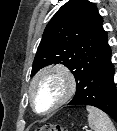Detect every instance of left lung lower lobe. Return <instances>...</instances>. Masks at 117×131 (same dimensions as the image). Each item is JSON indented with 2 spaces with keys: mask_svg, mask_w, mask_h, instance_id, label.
<instances>
[{
  "mask_svg": "<svg viewBox=\"0 0 117 131\" xmlns=\"http://www.w3.org/2000/svg\"><path fill=\"white\" fill-rule=\"evenodd\" d=\"M114 72L109 48L91 68L86 80L77 87L76 94L68 105L95 106L117 122V91Z\"/></svg>",
  "mask_w": 117,
  "mask_h": 131,
  "instance_id": "1",
  "label": "left lung lower lobe"
}]
</instances>
